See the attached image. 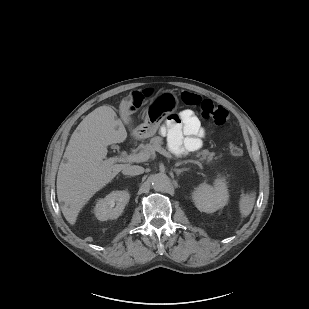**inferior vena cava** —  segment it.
Returning <instances> with one entry per match:
<instances>
[{"label":"inferior vena cava","mask_w":309,"mask_h":309,"mask_svg":"<svg viewBox=\"0 0 309 309\" xmlns=\"http://www.w3.org/2000/svg\"><path fill=\"white\" fill-rule=\"evenodd\" d=\"M143 172L144 168L138 165H128L122 170V173L124 175H131V176L140 175Z\"/></svg>","instance_id":"obj_1"}]
</instances>
